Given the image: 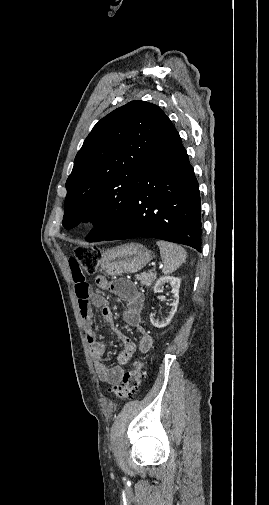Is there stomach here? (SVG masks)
<instances>
[{"label":"stomach","mask_w":269,"mask_h":505,"mask_svg":"<svg viewBox=\"0 0 269 505\" xmlns=\"http://www.w3.org/2000/svg\"><path fill=\"white\" fill-rule=\"evenodd\" d=\"M152 259V253L140 243H127L104 251L101 269L109 276L135 273Z\"/></svg>","instance_id":"1"}]
</instances>
